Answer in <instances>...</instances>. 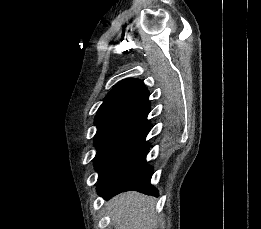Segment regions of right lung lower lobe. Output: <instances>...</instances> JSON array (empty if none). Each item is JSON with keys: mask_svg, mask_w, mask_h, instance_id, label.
Returning <instances> with one entry per match:
<instances>
[{"mask_svg": "<svg viewBox=\"0 0 261 229\" xmlns=\"http://www.w3.org/2000/svg\"><path fill=\"white\" fill-rule=\"evenodd\" d=\"M149 144L144 143L131 155L116 162L99 179L98 194L104 198L129 190L145 194H157V189L150 184L153 168L146 163Z\"/></svg>", "mask_w": 261, "mask_h": 229, "instance_id": "right-lung-lower-lobe-1", "label": "right lung lower lobe"}]
</instances>
